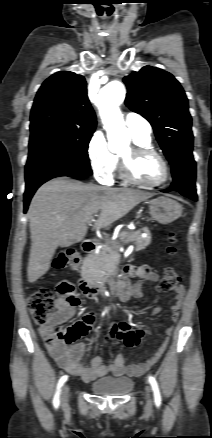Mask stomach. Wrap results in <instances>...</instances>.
Returning a JSON list of instances; mask_svg holds the SVG:
<instances>
[{"mask_svg": "<svg viewBox=\"0 0 212 438\" xmlns=\"http://www.w3.org/2000/svg\"><path fill=\"white\" fill-rule=\"evenodd\" d=\"M182 214V206L170 198L161 196L151 201L150 215L161 224H170Z\"/></svg>", "mask_w": 212, "mask_h": 438, "instance_id": "0dacf381", "label": "stomach"}]
</instances>
